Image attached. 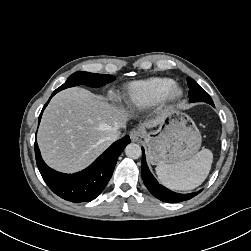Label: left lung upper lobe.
Returning a JSON list of instances; mask_svg holds the SVG:
<instances>
[{
    "label": "left lung upper lobe",
    "instance_id": "1",
    "mask_svg": "<svg viewBox=\"0 0 251 251\" xmlns=\"http://www.w3.org/2000/svg\"><path fill=\"white\" fill-rule=\"evenodd\" d=\"M189 86V101L190 102H206L214 106L210 95L203 90L192 78H187Z\"/></svg>",
    "mask_w": 251,
    "mask_h": 251
}]
</instances>
